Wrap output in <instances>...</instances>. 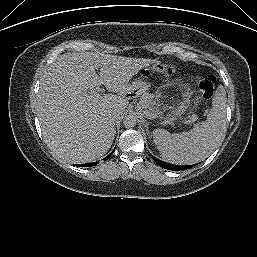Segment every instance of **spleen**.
<instances>
[{
    "label": "spleen",
    "instance_id": "3e777b00",
    "mask_svg": "<svg viewBox=\"0 0 257 257\" xmlns=\"http://www.w3.org/2000/svg\"><path fill=\"white\" fill-rule=\"evenodd\" d=\"M226 93L219 86L212 101L207 120L189 132L173 133L156 129L154 143L164 161L179 165L206 159L223 139L226 132Z\"/></svg>",
    "mask_w": 257,
    "mask_h": 257
}]
</instances>
